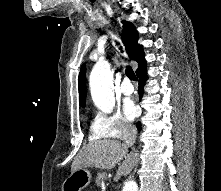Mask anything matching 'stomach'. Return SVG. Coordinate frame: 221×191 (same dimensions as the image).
I'll return each instance as SVG.
<instances>
[{"label":"stomach","instance_id":"stomach-1","mask_svg":"<svg viewBox=\"0 0 221 191\" xmlns=\"http://www.w3.org/2000/svg\"><path fill=\"white\" fill-rule=\"evenodd\" d=\"M92 179L89 170L81 168L71 172V175L62 183L61 191H81L86 188Z\"/></svg>","mask_w":221,"mask_h":191}]
</instances>
